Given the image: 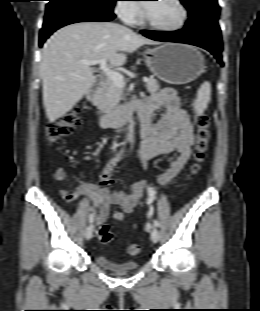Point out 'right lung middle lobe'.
<instances>
[{"label":"right lung middle lobe","mask_w":260,"mask_h":311,"mask_svg":"<svg viewBox=\"0 0 260 311\" xmlns=\"http://www.w3.org/2000/svg\"><path fill=\"white\" fill-rule=\"evenodd\" d=\"M84 1L91 3L102 10L113 12V6L116 0H84Z\"/></svg>","instance_id":"dd1d6c3e"}]
</instances>
